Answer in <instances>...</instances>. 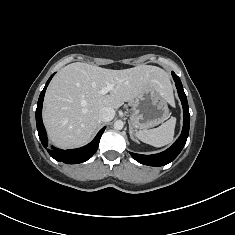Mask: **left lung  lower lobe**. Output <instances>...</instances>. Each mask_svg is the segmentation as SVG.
Masks as SVG:
<instances>
[{"mask_svg": "<svg viewBox=\"0 0 235 235\" xmlns=\"http://www.w3.org/2000/svg\"><path fill=\"white\" fill-rule=\"evenodd\" d=\"M172 76L174 78L176 88L178 91V95L180 97V100L182 102L183 106V130L179 138L176 140V142L167 150L153 155H142V154H136V153H130L131 156L138 161L141 164L149 165V166H164L170 162H172L178 154L183 149L188 134H189V126H190V114H189V108H188V102L186 95L183 90L182 83L179 79V77L172 72Z\"/></svg>", "mask_w": 235, "mask_h": 235, "instance_id": "1", "label": "left lung lower lobe"}]
</instances>
